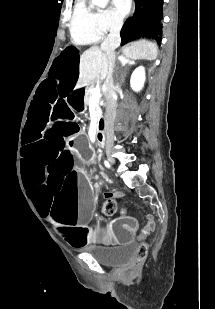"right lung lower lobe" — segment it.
Here are the masks:
<instances>
[{
    "label": "right lung lower lobe",
    "instance_id": "right-lung-lower-lobe-1",
    "mask_svg": "<svg viewBox=\"0 0 215 309\" xmlns=\"http://www.w3.org/2000/svg\"><path fill=\"white\" fill-rule=\"evenodd\" d=\"M135 13L125 22L121 30V44L145 36L161 42L163 0H134Z\"/></svg>",
    "mask_w": 215,
    "mask_h": 309
}]
</instances>
